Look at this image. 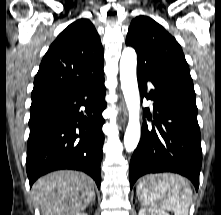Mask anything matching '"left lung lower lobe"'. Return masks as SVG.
<instances>
[{"mask_svg": "<svg viewBox=\"0 0 221 215\" xmlns=\"http://www.w3.org/2000/svg\"><path fill=\"white\" fill-rule=\"evenodd\" d=\"M141 94L154 101L153 114L144 108L140 142L129 170L131 188L148 173L174 172L192 181L196 190L202 164L200 128L195 92L177 83L137 72ZM147 82L153 89L146 94Z\"/></svg>", "mask_w": 221, "mask_h": 215, "instance_id": "left-lung-lower-lobe-1", "label": "left lung lower lobe"}]
</instances>
